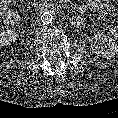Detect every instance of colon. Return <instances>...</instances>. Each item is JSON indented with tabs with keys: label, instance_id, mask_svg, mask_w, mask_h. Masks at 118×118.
<instances>
[{
	"label": "colon",
	"instance_id": "1",
	"mask_svg": "<svg viewBox=\"0 0 118 118\" xmlns=\"http://www.w3.org/2000/svg\"><path fill=\"white\" fill-rule=\"evenodd\" d=\"M20 18L19 9L17 7L10 8L0 13V27L13 26L18 23Z\"/></svg>",
	"mask_w": 118,
	"mask_h": 118
}]
</instances>
